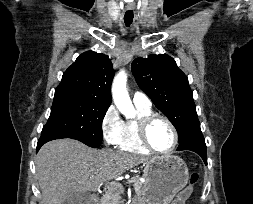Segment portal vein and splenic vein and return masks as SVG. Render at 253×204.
<instances>
[{"label": "portal vein and splenic vein", "mask_w": 253, "mask_h": 204, "mask_svg": "<svg viewBox=\"0 0 253 204\" xmlns=\"http://www.w3.org/2000/svg\"><path fill=\"white\" fill-rule=\"evenodd\" d=\"M135 180H136V177H131V178L127 181V183H128V184L134 183Z\"/></svg>", "instance_id": "portal-vein-and-splenic-vein-1"}]
</instances>
